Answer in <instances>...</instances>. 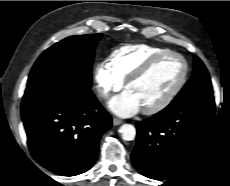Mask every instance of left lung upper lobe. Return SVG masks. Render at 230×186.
Here are the masks:
<instances>
[{
  "label": "left lung upper lobe",
  "mask_w": 230,
  "mask_h": 186,
  "mask_svg": "<svg viewBox=\"0 0 230 186\" xmlns=\"http://www.w3.org/2000/svg\"><path fill=\"white\" fill-rule=\"evenodd\" d=\"M194 71L191 79L184 88L179 92L176 98L170 103L171 106L184 103L188 100L202 98L213 95L211 80L203 62L194 57Z\"/></svg>",
  "instance_id": "1"
}]
</instances>
